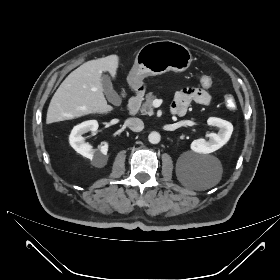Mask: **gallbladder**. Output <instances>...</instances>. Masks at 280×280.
I'll use <instances>...</instances> for the list:
<instances>
[{"mask_svg":"<svg viewBox=\"0 0 280 280\" xmlns=\"http://www.w3.org/2000/svg\"><path fill=\"white\" fill-rule=\"evenodd\" d=\"M102 87L108 101L114 105L121 104V97L114 90L110 77L107 74L102 75Z\"/></svg>","mask_w":280,"mask_h":280,"instance_id":"gallbladder-1","label":"gallbladder"}]
</instances>
